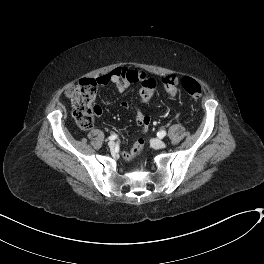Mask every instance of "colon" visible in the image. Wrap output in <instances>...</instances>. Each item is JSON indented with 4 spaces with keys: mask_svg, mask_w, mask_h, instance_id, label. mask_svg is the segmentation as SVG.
<instances>
[{
    "mask_svg": "<svg viewBox=\"0 0 264 264\" xmlns=\"http://www.w3.org/2000/svg\"><path fill=\"white\" fill-rule=\"evenodd\" d=\"M165 91L174 96L178 91V79L174 75L165 76L161 79ZM158 81L153 77H148L140 83V97L143 100L151 99L156 91ZM181 86L186 93L193 99L202 96L203 90L199 82L190 76L181 79ZM97 92V81L94 79H82L77 83L65 88V96L72 103V115L77 125L87 130L92 128L94 118L98 114L94 100ZM141 145V144H140Z\"/></svg>",
    "mask_w": 264,
    "mask_h": 264,
    "instance_id": "obj_1",
    "label": "colon"
}]
</instances>
